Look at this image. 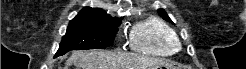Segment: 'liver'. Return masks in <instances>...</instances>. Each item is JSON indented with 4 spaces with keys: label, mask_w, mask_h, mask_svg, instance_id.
<instances>
[{
    "label": "liver",
    "mask_w": 246,
    "mask_h": 69,
    "mask_svg": "<svg viewBox=\"0 0 246 69\" xmlns=\"http://www.w3.org/2000/svg\"><path fill=\"white\" fill-rule=\"evenodd\" d=\"M72 63L77 69H149L164 64L154 57L103 50L76 51L67 60L65 69Z\"/></svg>",
    "instance_id": "1"
}]
</instances>
